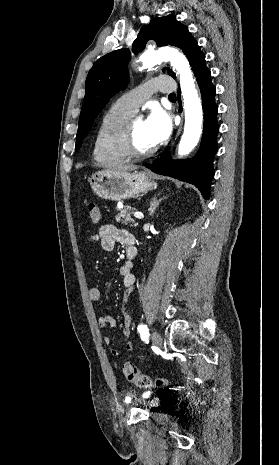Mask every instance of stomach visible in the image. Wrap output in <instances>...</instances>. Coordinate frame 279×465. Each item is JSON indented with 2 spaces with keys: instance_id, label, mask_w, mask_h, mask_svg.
Listing matches in <instances>:
<instances>
[{
  "instance_id": "obj_1",
  "label": "stomach",
  "mask_w": 279,
  "mask_h": 465,
  "mask_svg": "<svg viewBox=\"0 0 279 465\" xmlns=\"http://www.w3.org/2000/svg\"><path fill=\"white\" fill-rule=\"evenodd\" d=\"M89 183L96 195L112 201L134 198L157 187L149 175L137 171H99L89 178Z\"/></svg>"
}]
</instances>
